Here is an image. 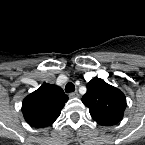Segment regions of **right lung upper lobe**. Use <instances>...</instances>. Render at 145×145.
I'll list each match as a JSON object with an SVG mask.
<instances>
[{
    "mask_svg": "<svg viewBox=\"0 0 145 145\" xmlns=\"http://www.w3.org/2000/svg\"><path fill=\"white\" fill-rule=\"evenodd\" d=\"M67 100L68 96L62 88L44 83L24 98L22 104L24 119L35 128L50 126L59 117Z\"/></svg>",
    "mask_w": 145,
    "mask_h": 145,
    "instance_id": "right-lung-upper-lobe-1",
    "label": "right lung upper lobe"
}]
</instances>
